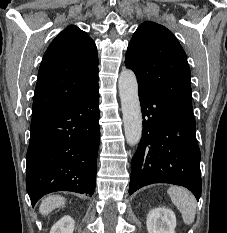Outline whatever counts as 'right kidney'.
I'll return each mask as SVG.
<instances>
[{"instance_id": "ca27d5eb", "label": "right kidney", "mask_w": 227, "mask_h": 233, "mask_svg": "<svg viewBox=\"0 0 227 233\" xmlns=\"http://www.w3.org/2000/svg\"><path fill=\"white\" fill-rule=\"evenodd\" d=\"M75 221L70 216H63L51 228L50 233H73Z\"/></svg>"}]
</instances>
